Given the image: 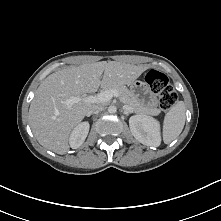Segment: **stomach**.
Masks as SVG:
<instances>
[{"mask_svg":"<svg viewBox=\"0 0 221 221\" xmlns=\"http://www.w3.org/2000/svg\"><path fill=\"white\" fill-rule=\"evenodd\" d=\"M130 85V91L134 96L144 105H146V98L149 92L147 84L143 81L135 80ZM148 106V105H147Z\"/></svg>","mask_w":221,"mask_h":221,"instance_id":"0dacf381","label":"stomach"}]
</instances>
